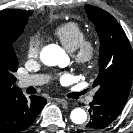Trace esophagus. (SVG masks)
Segmentation results:
<instances>
[{
	"label": "esophagus",
	"mask_w": 133,
	"mask_h": 133,
	"mask_svg": "<svg viewBox=\"0 0 133 133\" xmlns=\"http://www.w3.org/2000/svg\"><path fill=\"white\" fill-rule=\"evenodd\" d=\"M55 100L62 105L68 104V101L66 99H63V98H56Z\"/></svg>",
	"instance_id": "34e87169"
}]
</instances>
